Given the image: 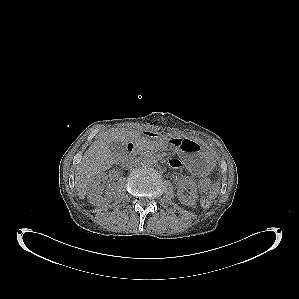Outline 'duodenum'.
<instances>
[{
  "label": "duodenum",
  "instance_id": "1",
  "mask_svg": "<svg viewBox=\"0 0 299 299\" xmlns=\"http://www.w3.org/2000/svg\"><path fill=\"white\" fill-rule=\"evenodd\" d=\"M145 135H152L150 132H144ZM127 150L129 153H133L135 151V143L133 141L129 142L127 145Z\"/></svg>",
  "mask_w": 299,
  "mask_h": 299
}]
</instances>
